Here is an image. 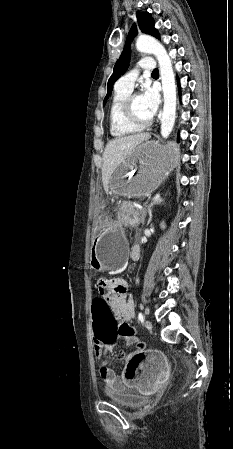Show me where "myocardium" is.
<instances>
[{
	"mask_svg": "<svg viewBox=\"0 0 233 449\" xmlns=\"http://www.w3.org/2000/svg\"><path fill=\"white\" fill-rule=\"evenodd\" d=\"M140 95L138 92H130L124 99L121 107L123 118L132 125L140 128L149 126L153 121V116L146 119L139 118L134 111V99Z\"/></svg>",
	"mask_w": 233,
	"mask_h": 449,
	"instance_id": "1",
	"label": "myocardium"
}]
</instances>
